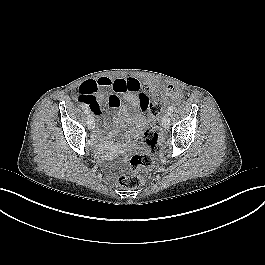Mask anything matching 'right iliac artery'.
I'll return each instance as SVG.
<instances>
[{
	"mask_svg": "<svg viewBox=\"0 0 265 265\" xmlns=\"http://www.w3.org/2000/svg\"><path fill=\"white\" fill-rule=\"evenodd\" d=\"M81 107H82V109H83L85 114H89L90 113L89 108L86 105L82 104Z\"/></svg>",
	"mask_w": 265,
	"mask_h": 265,
	"instance_id": "right-iliac-artery-1",
	"label": "right iliac artery"
}]
</instances>
